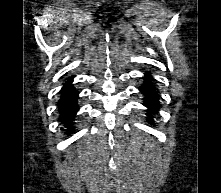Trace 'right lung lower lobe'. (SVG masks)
Here are the masks:
<instances>
[{
    "instance_id": "1",
    "label": "right lung lower lobe",
    "mask_w": 221,
    "mask_h": 193,
    "mask_svg": "<svg viewBox=\"0 0 221 193\" xmlns=\"http://www.w3.org/2000/svg\"><path fill=\"white\" fill-rule=\"evenodd\" d=\"M73 79L69 78L60 90V99L57 102L58 111L60 114L59 121H61L65 127L68 128L67 133L73 132V121L75 120L76 113L79 110L78 107V95L72 84Z\"/></svg>"
}]
</instances>
